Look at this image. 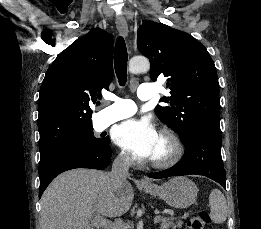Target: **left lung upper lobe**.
Here are the masks:
<instances>
[{"label":"left lung upper lobe","instance_id":"1","mask_svg":"<svg viewBox=\"0 0 261 229\" xmlns=\"http://www.w3.org/2000/svg\"><path fill=\"white\" fill-rule=\"evenodd\" d=\"M137 46L151 63L153 81L167 78L170 97L157 106L158 118L187 143L199 131L220 134L219 83L207 49L188 33L153 21L138 29Z\"/></svg>","mask_w":261,"mask_h":229}]
</instances>
